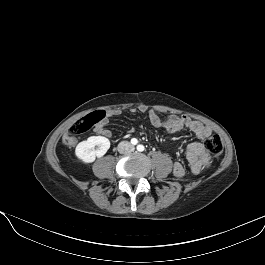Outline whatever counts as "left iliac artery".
<instances>
[{"label":"left iliac artery","mask_w":265,"mask_h":265,"mask_svg":"<svg viewBox=\"0 0 265 265\" xmlns=\"http://www.w3.org/2000/svg\"><path fill=\"white\" fill-rule=\"evenodd\" d=\"M137 150L140 151V152H142V151L145 150V147L143 145H138L137 146Z\"/></svg>","instance_id":"1"}]
</instances>
